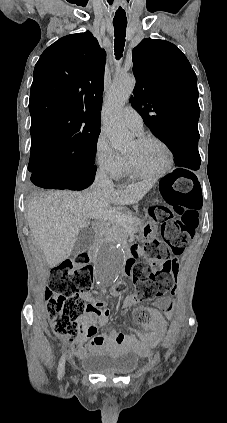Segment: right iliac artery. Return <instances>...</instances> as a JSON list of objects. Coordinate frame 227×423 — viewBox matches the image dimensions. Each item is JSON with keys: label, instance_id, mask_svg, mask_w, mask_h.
Returning a JSON list of instances; mask_svg holds the SVG:
<instances>
[{"label": "right iliac artery", "instance_id": "82829eb1", "mask_svg": "<svg viewBox=\"0 0 227 423\" xmlns=\"http://www.w3.org/2000/svg\"><path fill=\"white\" fill-rule=\"evenodd\" d=\"M64 367H65V357L62 356L59 365H58V378L59 380L62 379L63 373H64Z\"/></svg>", "mask_w": 227, "mask_h": 423}]
</instances>
